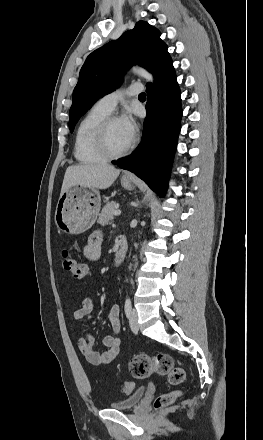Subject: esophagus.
Returning <instances> with one entry per match:
<instances>
[{"label": "esophagus", "instance_id": "obj_1", "mask_svg": "<svg viewBox=\"0 0 263 440\" xmlns=\"http://www.w3.org/2000/svg\"><path fill=\"white\" fill-rule=\"evenodd\" d=\"M125 176L129 177V175H128V174H125Z\"/></svg>", "mask_w": 263, "mask_h": 440}]
</instances>
